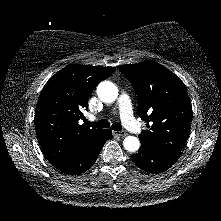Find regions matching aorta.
I'll list each match as a JSON object with an SVG mask.
<instances>
[{
    "mask_svg": "<svg viewBox=\"0 0 221 221\" xmlns=\"http://www.w3.org/2000/svg\"><path fill=\"white\" fill-rule=\"evenodd\" d=\"M99 99L105 103H112L118 97L117 86L110 81H103L97 87ZM124 148L129 152H135L140 147V141L137 137L127 136L123 141Z\"/></svg>",
    "mask_w": 221,
    "mask_h": 221,
    "instance_id": "obj_1",
    "label": "aorta"
}]
</instances>
